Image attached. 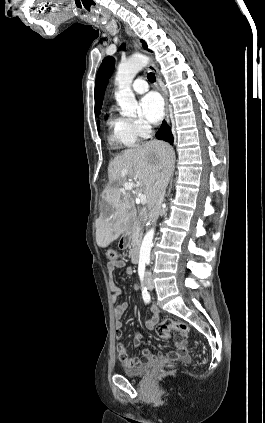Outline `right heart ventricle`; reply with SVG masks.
<instances>
[{"mask_svg":"<svg viewBox=\"0 0 265 423\" xmlns=\"http://www.w3.org/2000/svg\"><path fill=\"white\" fill-rule=\"evenodd\" d=\"M107 126L109 129V143L112 146H130L138 139L133 134L130 120L125 117L110 115L107 120Z\"/></svg>","mask_w":265,"mask_h":423,"instance_id":"1","label":"right heart ventricle"}]
</instances>
